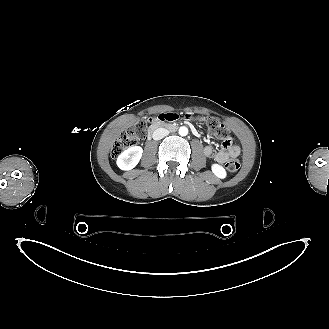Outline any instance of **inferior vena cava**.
<instances>
[{
	"label": "inferior vena cava",
	"mask_w": 329,
	"mask_h": 329,
	"mask_svg": "<svg viewBox=\"0 0 329 329\" xmlns=\"http://www.w3.org/2000/svg\"><path fill=\"white\" fill-rule=\"evenodd\" d=\"M169 134V131L165 128H158L153 132V139L154 140H161L162 138H164L165 136H167Z\"/></svg>",
	"instance_id": "1"
}]
</instances>
